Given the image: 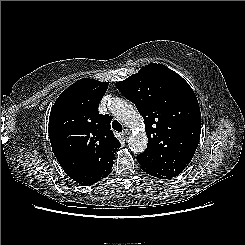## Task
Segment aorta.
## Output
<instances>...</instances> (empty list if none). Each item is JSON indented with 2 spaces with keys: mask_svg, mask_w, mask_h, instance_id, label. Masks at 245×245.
Returning a JSON list of instances; mask_svg holds the SVG:
<instances>
[{
  "mask_svg": "<svg viewBox=\"0 0 245 245\" xmlns=\"http://www.w3.org/2000/svg\"><path fill=\"white\" fill-rule=\"evenodd\" d=\"M110 110L116 118L121 120L132 130V135L128 140V146L131 151L136 154L142 153L147 146L148 140L141 115L130 103L118 97L111 100Z\"/></svg>",
  "mask_w": 245,
  "mask_h": 245,
  "instance_id": "obj_1",
  "label": "aorta"
}]
</instances>
